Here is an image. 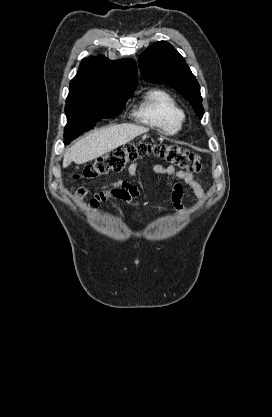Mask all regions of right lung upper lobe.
<instances>
[{
	"mask_svg": "<svg viewBox=\"0 0 272 417\" xmlns=\"http://www.w3.org/2000/svg\"><path fill=\"white\" fill-rule=\"evenodd\" d=\"M137 66L132 59L110 61L104 57L83 59L71 80L66 101L88 98L99 93L136 89Z\"/></svg>",
	"mask_w": 272,
	"mask_h": 417,
	"instance_id": "1",
	"label": "right lung upper lobe"
}]
</instances>
